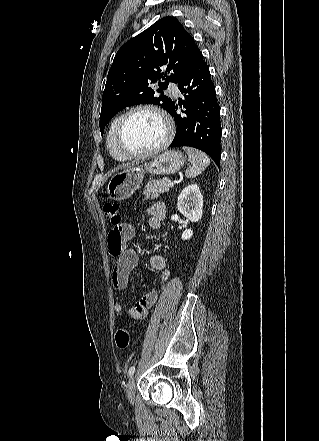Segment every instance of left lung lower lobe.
Here are the masks:
<instances>
[{
	"instance_id": "1",
	"label": "left lung lower lobe",
	"mask_w": 319,
	"mask_h": 441,
	"mask_svg": "<svg viewBox=\"0 0 319 441\" xmlns=\"http://www.w3.org/2000/svg\"><path fill=\"white\" fill-rule=\"evenodd\" d=\"M178 88L185 100L179 101L185 115L176 113L177 105L172 106L177 130L171 147L189 146L200 149L220 165V143L222 128L220 107L216 99L214 84L202 53L178 82Z\"/></svg>"
}]
</instances>
